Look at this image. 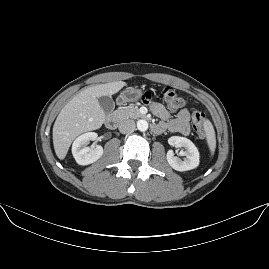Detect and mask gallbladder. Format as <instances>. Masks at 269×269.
<instances>
[{
	"instance_id": "bac80fb5",
	"label": "gallbladder",
	"mask_w": 269,
	"mask_h": 269,
	"mask_svg": "<svg viewBox=\"0 0 269 269\" xmlns=\"http://www.w3.org/2000/svg\"><path fill=\"white\" fill-rule=\"evenodd\" d=\"M98 103L101 106V108L104 110L106 113L112 112V110L115 107V103L112 99L111 96L109 95H103L98 98Z\"/></svg>"
}]
</instances>
